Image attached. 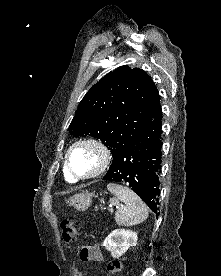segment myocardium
<instances>
[{
	"instance_id": "f54148a6",
	"label": "myocardium",
	"mask_w": 221,
	"mask_h": 276,
	"mask_svg": "<svg viewBox=\"0 0 221 276\" xmlns=\"http://www.w3.org/2000/svg\"><path fill=\"white\" fill-rule=\"evenodd\" d=\"M79 147H89L92 148L97 154L99 158L98 165L94 171L86 175H77L73 172L70 165V156L72 152ZM111 162V153L108 147L101 141L94 138H84L75 141L70 145L65 154V169L68 175L78 181L89 180L102 175L109 167Z\"/></svg>"
}]
</instances>
